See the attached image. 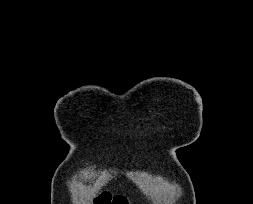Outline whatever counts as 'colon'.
Wrapping results in <instances>:
<instances>
[{
    "label": "colon",
    "instance_id": "5ec220e1",
    "mask_svg": "<svg viewBox=\"0 0 253 204\" xmlns=\"http://www.w3.org/2000/svg\"><path fill=\"white\" fill-rule=\"evenodd\" d=\"M93 204H127V203L121 197H113L108 192H102L94 199Z\"/></svg>",
    "mask_w": 253,
    "mask_h": 204
}]
</instances>
